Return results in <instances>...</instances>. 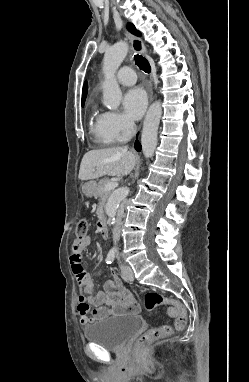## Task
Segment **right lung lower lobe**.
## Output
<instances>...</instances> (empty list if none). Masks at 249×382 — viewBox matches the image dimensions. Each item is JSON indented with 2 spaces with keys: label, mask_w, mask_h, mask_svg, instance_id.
Returning a JSON list of instances; mask_svg holds the SVG:
<instances>
[{
  "label": "right lung lower lobe",
  "mask_w": 249,
  "mask_h": 382,
  "mask_svg": "<svg viewBox=\"0 0 249 382\" xmlns=\"http://www.w3.org/2000/svg\"><path fill=\"white\" fill-rule=\"evenodd\" d=\"M135 149L137 150V151H140L141 150V145L136 141L135 142Z\"/></svg>",
  "instance_id": "98d812e1"
}]
</instances>
